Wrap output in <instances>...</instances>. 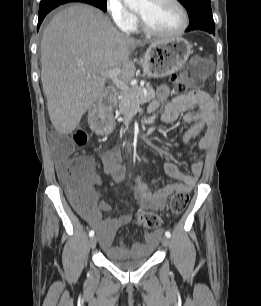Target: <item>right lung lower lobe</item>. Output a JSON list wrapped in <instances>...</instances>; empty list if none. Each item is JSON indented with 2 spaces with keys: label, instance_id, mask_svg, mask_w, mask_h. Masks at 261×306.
<instances>
[{
  "label": "right lung lower lobe",
  "instance_id": "98d812e1",
  "mask_svg": "<svg viewBox=\"0 0 261 306\" xmlns=\"http://www.w3.org/2000/svg\"><path fill=\"white\" fill-rule=\"evenodd\" d=\"M71 1L68 0H59V1H51V2H47V3H42L40 4V8H39V19H38V25H37V29H39L43 19L45 18V16L54 8H56L57 6L64 4V3H68Z\"/></svg>",
  "mask_w": 261,
  "mask_h": 306
}]
</instances>
